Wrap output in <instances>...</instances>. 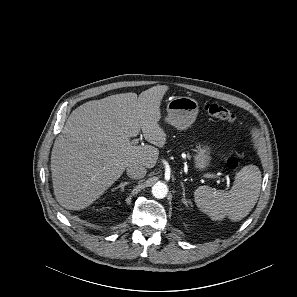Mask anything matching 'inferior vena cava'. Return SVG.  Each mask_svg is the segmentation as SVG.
<instances>
[{
    "label": "inferior vena cava",
    "instance_id": "obj_1",
    "mask_svg": "<svg viewBox=\"0 0 297 297\" xmlns=\"http://www.w3.org/2000/svg\"><path fill=\"white\" fill-rule=\"evenodd\" d=\"M127 175L132 179H141L146 175V169L141 165H130L127 167Z\"/></svg>",
    "mask_w": 297,
    "mask_h": 297
}]
</instances>
